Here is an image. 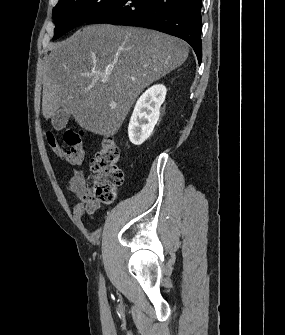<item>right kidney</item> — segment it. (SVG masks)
Returning a JSON list of instances; mask_svg holds the SVG:
<instances>
[{"label": "right kidney", "mask_w": 285, "mask_h": 335, "mask_svg": "<svg viewBox=\"0 0 285 335\" xmlns=\"http://www.w3.org/2000/svg\"><path fill=\"white\" fill-rule=\"evenodd\" d=\"M166 94L163 84H155L137 100L128 126L129 140L135 146H141L151 136Z\"/></svg>", "instance_id": "obj_1"}]
</instances>
